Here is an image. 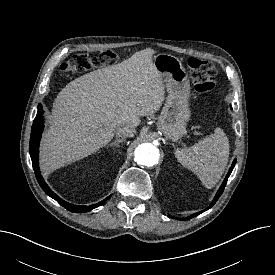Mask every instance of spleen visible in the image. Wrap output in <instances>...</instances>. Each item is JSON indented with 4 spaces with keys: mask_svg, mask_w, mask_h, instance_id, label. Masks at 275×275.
Returning a JSON list of instances; mask_svg holds the SVG:
<instances>
[{
    "mask_svg": "<svg viewBox=\"0 0 275 275\" xmlns=\"http://www.w3.org/2000/svg\"><path fill=\"white\" fill-rule=\"evenodd\" d=\"M229 140L222 129L204 137L189 148L176 150L177 160L193 171L207 188H213L221 178L229 159Z\"/></svg>",
    "mask_w": 275,
    "mask_h": 275,
    "instance_id": "spleen-1",
    "label": "spleen"
}]
</instances>
